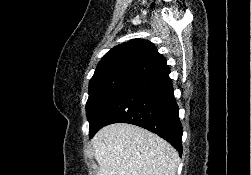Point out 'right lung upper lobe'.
I'll use <instances>...</instances> for the list:
<instances>
[{
    "label": "right lung upper lobe",
    "mask_w": 251,
    "mask_h": 175,
    "mask_svg": "<svg viewBox=\"0 0 251 175\" xmlns=\"http://www.w3.org/2000/svg\"><path fill=\"white\" fill-rule=\"evenodd\" d=\"M169 70L165 57L152 42L133 39L115 46L103 56L90 83L122 75L143 80Z\"/></svg>",
    "instance_id": "1"
}]
</instances>
